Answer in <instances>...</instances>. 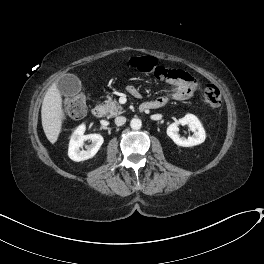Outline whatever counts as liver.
Instances as JSON below:
<instances>
[{"label": "liver", "mask_w": 264, "mask_h": 264, "mask_svg": "<svg viewBox=\"0 0 264 264\" xmlns=\"http://www.w3.org/2000/svg\"><path fill=\"white\" fill-rule=\"evenodd\" d=\"M41 119L44 133L51 143H56L62 129L64 111L62 96L57 87V82L48 89L43 99Z\"/></svg>", "instance_id": "1"}]
</instances>
